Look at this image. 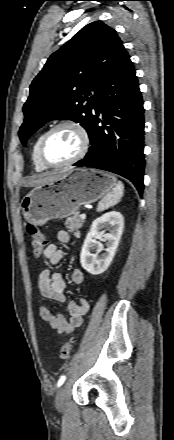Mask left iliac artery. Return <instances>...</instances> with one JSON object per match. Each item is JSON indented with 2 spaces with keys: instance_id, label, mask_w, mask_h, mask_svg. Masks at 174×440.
I'll return each instance as SVG.
<instances>
[{
  "instance_id": "1",
  "label": "left iliac artery",
  "mask_w": 174,
  "mask_h": 440,
  "mask_svg": "<svg viewBox=\"0 0 174 440\" xmlns=\"http://www.w3.org/2000/svg\"><path fill=\"white\" fill-rule=\"evenodd\" d=\"M65 379L66 376H61L60 379L58 380L57 387H60L64 383Z\"/></svg>"
}]
</instances>
